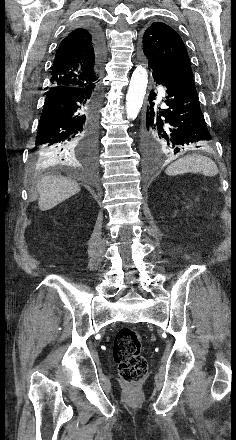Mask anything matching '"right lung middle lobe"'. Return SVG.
Returning a JSON list of instances; mask_svg holds the SVG:
<instances>
[{
  "label": "right lung middle lobe",
  "mask_w": 236,
  "mask_h": 440,
  "mask_svg": "<svg viewBox=\"0 0 236 440\" xmlns=\"http://www.w3.org/2000/svg\"><path fill=\"white\" fill-rule=\"evenodd\" d=\"M33 161L35 163L39 164V163L44 162L45 160H44V158L42 156L35 154L34 157H33Z\"/></svg>",
  "instance_id": "right-lung-middle-lobe-1"
}]
</instances>
